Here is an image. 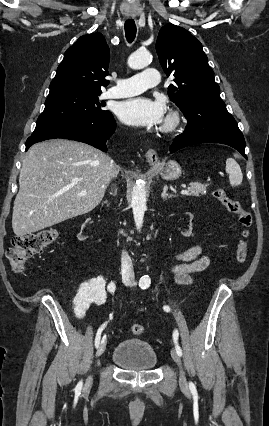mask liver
I'll return each instance as SVG.
<instances>
[{
    "instance_id": "6515ba94",
    "label": "liver",
    "mask_w": 269,
    "mask_h": 426,
    "mask_svg": "<svg viewBox=\"0 0 269 426\" xmlns=\"http://www.w3.org/2000/svg\"><path fill=\"white\" fill-rule=\"evenodd\" d=\"M119 168L100 150L52 139L33 145L23 160L12 228L24 236L92 211ZM86 191L85 196L79 193Z\"/></svg>"
}]
</instances>
